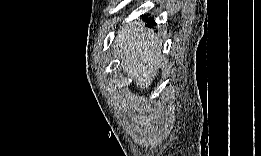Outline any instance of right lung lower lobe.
<instances>
[{
	"mask_svg": "<svg viewBox=\"0 0 261 156\" xmlns=\"http://www.w3.org/2000/svg\"><path fill=\"white\" fill-rule=\"evenodd\" d=\"M144 19H146V22L149 24V26L151 27V25H156L155 22L153 21V19L145 17Z\"/></svg>",
	"mask_w": 261,
	"mask_h": 156,
	"instance_id": "98d812e1",
	"label": "right lung lower lobe"
}]
</instances>
